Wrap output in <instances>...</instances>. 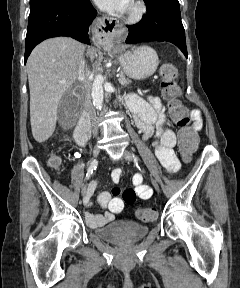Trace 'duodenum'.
<instances>
[{
    "mask_svg": "<svg viewBox=\"0 0 240 288\" xmlns=\"http://www.w3.org/2000/svg\"><path fill=\"white\" fill-rule=\"evenodd\" d=\"M74 138L79 145H84L89 139V119L86 112L79 119Z\"/></svg>",
    "mask_w": 240,
    "mask_h": 288,
    "instance_id": "1",
    "label": "duodenum"
}]
</instances>
